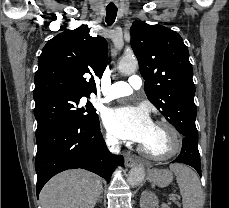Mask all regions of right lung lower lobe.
Instances as JSON below:
<instances>
[{"label": "right lung lower lobe", "instance_id": "98d812e1", "mask_svg": "<svg viewBox=\"0 0 229 208\" xmlns=\"http://www.w3.org/2000/svg\"><path fill=\"white\" fill-rule=\"evenodd\" d=\"M37 197L45 183L67 169L82 168L110 181L116 166L124 159L107 150L99 122L88 125L76 120L59 121L36 135Z\"/></svg>", "mask_w": 229, "mask_h": 208}]
</instances>
